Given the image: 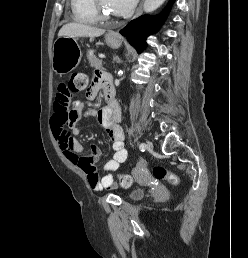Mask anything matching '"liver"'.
I'll list each match as a JSON object with an SVG mask.
<instances>
[{
    "instance_id": "obj_1",
    "label": "liver",
    "mask_w": 248,
    "mask_h": 258,
    "mask_svg": "<svg viewBox=\"0 0 248 258\" xmlns=\"http://www.w3.org/2000/svg\"><path fill=\"white\" fill-rule=\"evenodd\" d=\"M104 32V29H99L80 23H68L62 26L58 33V37H99L103 35Z\"/></svg>"
}]
</instances>
